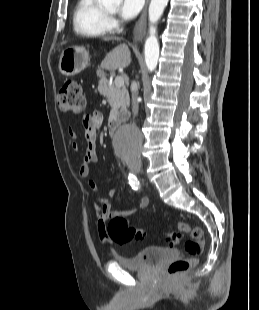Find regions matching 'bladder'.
<instances>
[{
  "label": "bladder",
  "instance_id": "31cf9c89",
  "mask_svg": "<svg viewBox=\"0 0 259 310\" xmlns=\"http://www.w3.org/2000/svg\"><path fill=\"white\" fill-rule=\"evenodd\" d=\"M177 255V251L172 248L146 247L132 257H118L117 262L128 270L149 269Z\"/></svg>",
  "mask_w": 259,
  "mask_h": 310
}]
</instances>
